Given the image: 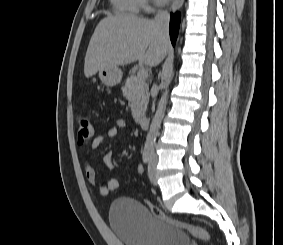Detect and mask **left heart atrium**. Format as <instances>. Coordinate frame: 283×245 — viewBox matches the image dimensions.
<instances>
[{
	"instance_id": "obj_1",
	"label": "left heart atrium",
	"mask_w": 283,
	"mask_h": 245,
	"mask_svg": "<svg viewBox=\"0 0 283 245\" xmlns=\"http://www.w3.org/2000/svg\"><path fill=\"white\" fill-rule=\"evenodd\" d=\"M159 2H167V1H169V0H158Z\"/></svg>"
}]
</instances>
